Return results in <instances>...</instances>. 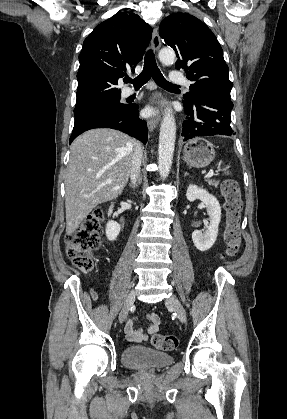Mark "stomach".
<instances>
[{
    "instance_id": "obj_1",
    "label": "stomach",
    "mask_w": 287,
    "mask_h": 419,
    "mask_svg": "<svg viewBox=\"0 0 287 419\" xmlns=\"http://www.w3.org/2000/svg\"><path fill=\"white\" fill-rule=\"evenodd\" d=\"M215 157L213 144L205 138L196 137L186 142L183 148V160L191 167L204 168Z\"/></svg>"
}]
</instances>
